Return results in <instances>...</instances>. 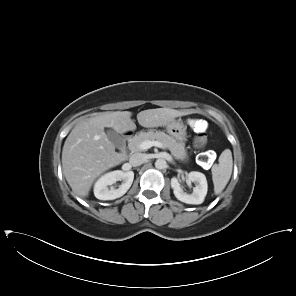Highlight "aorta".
<instances>
[{
  "mask_svg": "<svg viewBox=\"0 0 296 296\" xmlns=\"http://www.w3.org/2000/svg\"><path fill=\"white\" fill-rule=\"evenodd\" d=\"M166 166H167V162L164 159H157L155 161V167L157 169H160L161 170V169L166 168Z\"/></svg>",
  "mask_w": 296,
  "mask_h": 296,
  "instance_id": "762f6f07",
  "label": "aorta"
}]
</instances>
